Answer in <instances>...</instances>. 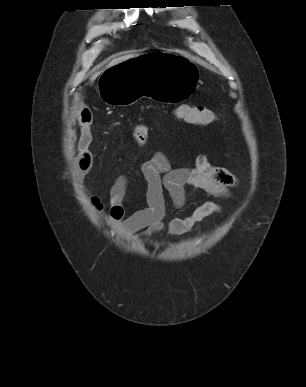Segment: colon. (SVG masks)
<instances>
[{"label":"colon","mask_w":306,"mask_h":387,"mask_svg":"<svg viewBox=\"0 0 306 387\" xmlns=\"http://www.w3.org/2000/svg\"><path fill=\"white\" fill-rule=\"evenodd\" d=\"M178 119L199 126H207L217 120L216 114L205 106L182 105L176 109ZM149 135L148 126L139 122L133 130V140L136 145L143 146L147 143Z\"/></svg>","instance_id":"5ec220e1"}]
</instances>
